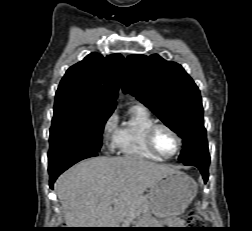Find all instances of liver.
Segmentation results:
<instances>
[{"mask_svg":"<svg viewBox=\"0 0 252 231\" xmlns=\"http://www.w3.org/2000/svg\"><path fill=\"white\" fill-rule=\"evenodd\" d=\"M173 173L169 165L132 156L96 157L64 172L55 190L69 228H118L139 217L142 194Z\"/></svg>","mask_w":252,"mask_h":231,"instance_id":"6515ba94","label":"liver"}]
</instances>
